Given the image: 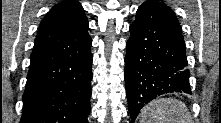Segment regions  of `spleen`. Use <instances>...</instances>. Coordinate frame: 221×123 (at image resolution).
<instances>
[{"label": "spleen", "instance_id": "3e777b00", "mask_svg": "<svg viewBox=\"0 0 221 123\" xmlns=\"http://www.w3.org/2000/svg\"><path fill=\"white\" fill-rule=\"evenodd\" d=\"M139 120L140 123H191V115L183 102L159 98L141 110Z\"/></svg>", "mask_w": 221, "mask_h": 123}]
</instances>
